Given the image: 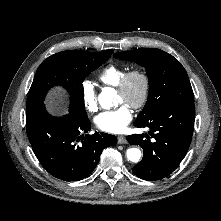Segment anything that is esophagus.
Masks as SVG:
<instances>
[{
    "label": "esophagus",
    "instance_id": "34e87169",
    "mask_svg": "<svg viewBox=\"0 0 221 221\" xmlns=\"http://www.w3.org/2000/svg\"><path fill=\"white\" fill-rule=\"evenodd\" d=\"M118 143L119 144H126L127 143L126 137L123 135L118 136Z\"/></svg>",
    "mask_w": 221,
    "mask_h": 221
}]
</instances>
